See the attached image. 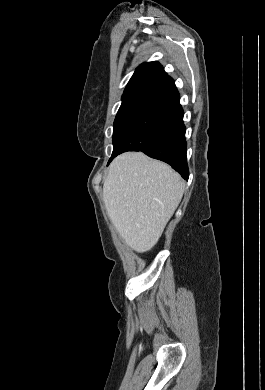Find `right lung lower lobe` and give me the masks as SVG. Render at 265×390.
Masks as SVG:
<instances>
[{
  "instance_id": "1",
  "label": "right lung lower lobe",
  "mask_w": 265,
  "mask_h": 390,
  "mask_svg": "<svg viewBox=\"0 0 265 390\" xmlns=\"http://www.w3.org/2000/svg\"><path fill=\"white\" fill-rule=\"evenodd\" d=\"M183 109L176 87L154 100L120 137L108 164L126 151H142L148 156L171 165L188 180Z\"/></svg>"
}]
</instances>
